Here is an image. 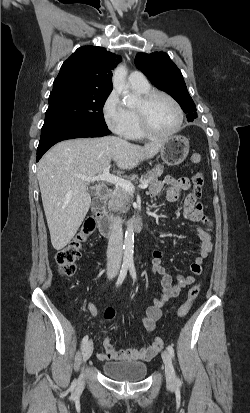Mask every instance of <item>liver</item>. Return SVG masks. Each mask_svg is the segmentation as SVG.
Wrapping results in <instances>:
<instances>
[{
  "label": "liver",
  "mask_w": 250,
  "mask_h": 413,
  "mask_svg": "<svg viewBox=\"0 0 250 413\" xmlns=\"http://www.w3.org/2000/svg\"><path fill=\"white\" fill-rule=\"evenodd\" d=\"M163 141L144 146L116 136L66 140L52 147L39 161L37 178L51 236L57 251L74 237L91 204L87 181L81 176L99 175L111 160L121 170L136 167L153 158Z\"/></svg>",
  "instance_id": "1"
}]
</instances>
